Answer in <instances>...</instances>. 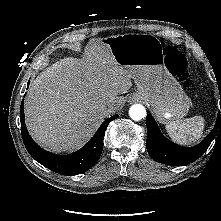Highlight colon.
<instances>
[{
	"instance_id": "5ec220e1",
	"label": "colon",
	"mask_w": 221,
	"mask_h": 221,
	"mask_svg": "<svg viewBox=\"0 0 221 221\" xmlns=\"http://www.w3.org/2000/svg\"><path fill=\"white\" fill-rule=\"evenodd\" d=\"M166 65L169 72L178 78L183 87L189 89L193 86L194 78L192 74V66L187 57L172 48H166Z\"/></svg>"
}]
</instances>
